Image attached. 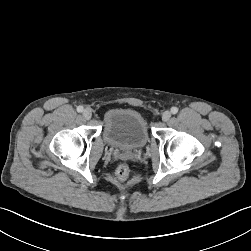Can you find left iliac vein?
Masks as SVG:
<instances>
[{
    "instance_id": "1",
    "label": "left iliac vein",
    "mask_w": 251,
    "mask_h": 251,
    "mask_svg": "<svg viewBox=\"0 0 251 251\" xmlns=\"http://www.w3.org/2000/svg\"><path fill=\"white\" fill-rule=\"evenodd\" d=\"M171 118V112L170 111H165L162 114V120L164 122H167Z\"/></svg>"
}]
</instances>
